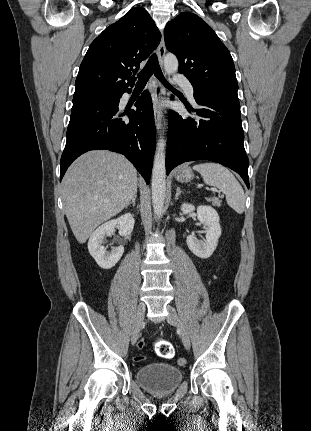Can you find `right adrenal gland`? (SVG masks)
I'll return each instance as SVG.
<instances>
[{"label":"right adrenal gland","instance_id":"right-adrenal-gland-1","mask_svg":"<svg viewBox=\"0 0 311 431\" xmlns=\"http://www.w3.org/2000/svg\"><path fill=\"white\" fill-rule=\"evenodd\" d=\"M136 198H137V194H135V196H133V198H132L130 204H128V206H131V204H132V206H136V204H135ZM128 206H126V208H128Z\"/></svg>","mask_w":311,"mask_h":431}]
</instances>
